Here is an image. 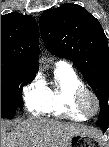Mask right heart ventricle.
Here are the masks:
<instances>
[{
    "mask_svg": "<svg viewBox=\"0 0 109 147\" xmlns=\"http://www.w3.org/2000/svg\"><path fill=\"white\" fill-rule=\"evenodd\" d=\"M40 84L43 89V98L28 102L29 111L37 115L50 114L77 122L88 119L74 105L76 94L85 86L71 67L57 65L50 83Z\"/></svg>",
    "mask_w": 109,
    "mask_h": 147,
    "instance_id": "obj_1",
    "label": "right heart ventricle"
}]
</instances>
